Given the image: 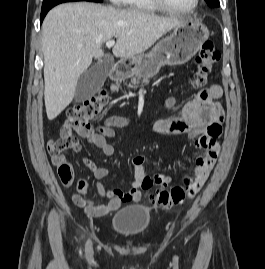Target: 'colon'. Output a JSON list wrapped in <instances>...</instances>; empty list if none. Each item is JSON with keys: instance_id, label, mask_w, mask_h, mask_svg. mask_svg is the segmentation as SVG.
<instances>
[{"instance_id": "obj_1", "label": "colon", "mask_w": 265, "mask_h": 269, "mask_svg": "<svg viewBox=\"0 0 265 269\" xmlns=\"http://www.w3.org/2000/svg\"><path fill=\"white\" fill-rule=\"evenodd\" d=\"M220 53L216 50L213 42H204L197 54V69L193 78L195 87H201L208 81L214 65L219 61ZM108 103V94L101 91L83 104L68 110L66 117L57 129L58 138L49 141L48 148L57 167L60 181L64 185H71L74 181V167L66 161L63 151L73 147L76 136H89L94 134L91 121L98 117ZM209 135L218 138L221 134V125L214 122L209 127ZM197 192L194 182L186 178L183 185L174 186L169 191H157L150 198L162 207L181 205L189 197Z\"/></svg>"}]
</instances>
